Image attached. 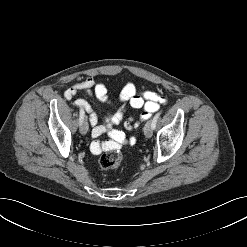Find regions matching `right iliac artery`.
Returning <instances> with one entry per match:
<instances>
[{
	"mask_svg": "<svg viewBox=\"0 0 247 247\" xmlns=\"http://www.w3.org/2000/svg\"><path fill=\"white\" fill-rule=\"evenodd\" d=\"M85 117V112L83 109H80V118H79V124L81 125Z\"/></svg>",
	"mask_w": 247,
	"mask_h": 247,
	"instance_id": "1",
	"label": "right iliac artery"
}]
</instances>
